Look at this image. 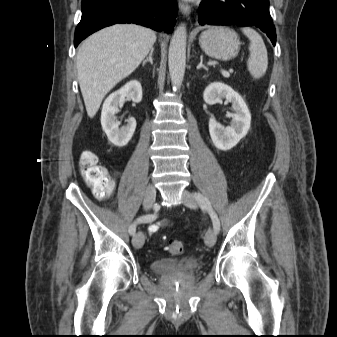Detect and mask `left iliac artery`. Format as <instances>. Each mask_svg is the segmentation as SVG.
I'll use <instances>...</instances> for the list:
<instances>
[{
  "instance_id": "44dca946",
  "label": "left iliac artery",
  "mask_w": 337,
  "mask_h": 337,
  "mask_svg": "<svg viewBox=\"0 0 337 337\" xmlns=\"http://www.w3.org/2000/svg\"><path fill=\"white\" fill-rule=\"evenodd\" d=\"M194 196L198 203L201 205V207L205 208L208 211L213 222L214 230L216 231V233H218L220 231V221L217 214L213 210L210 201L200 193H195Z\"/></svg>"
}]
</instances>
